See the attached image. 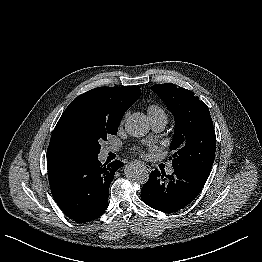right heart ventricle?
Wrapping results in <instances>:
<instances>
[{"instance_id": "e07e8e85", "label": "right heart ventricle", "mask_w": 262, "mask_h": 262, "mask_svg": "<svg viewBox=\"0 0 262 262\" xmlns=\"http://www.w3.org/2000/svg\"><path fill=\"white\" fill-rule=\"evenodd\" d=\"M149 119L153 118H164L167 120V116L162 107L157 104H152L147 109Z\"/></svg>"}]
</instances>
